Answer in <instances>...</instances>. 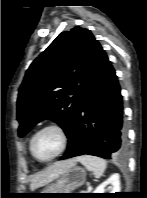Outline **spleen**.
I'll return each instance as SVG.
<instances>
[{"label": "spleen", "mask_w": 147, "mask_h": 198, "mask_svg": "<svg viewBox=\"0 0 147 198\" xmlns=\"http://www.w3.org/2000/svg\"><path fill=\"white\" fill-rule=\"evenodd\" d=\"M76 159L84 165L87 170L93 172L96 178H100L107 167V162L96 156L83 155L77 157Z\"/></svg>", "instance_id": "spleen-1"}]
</instances>
